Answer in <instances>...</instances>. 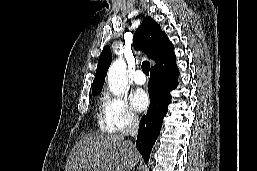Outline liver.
I'll return each mask as SVG.
<instances>
[{
	"mask_svg": "<svg viewBox=\"0 0 257 171\" xmlns=\"http://www.w3.org/2000/svg\"><path fill=\"white\" fill-rule=\"evenodd\" d=\"M139 154L122 134H89L70 152L65 171H131Z\"/></svg>",
	"mask_w": 257,
	"mask_h": 171,
	"instance_id": "1",
	"label": "liver"
}]
</instances>
